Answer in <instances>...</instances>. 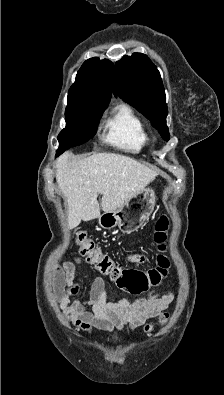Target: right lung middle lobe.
I'll return each instance as SVG.
<instances>
[{
  "instance_id": "obj_1",
  "label": "right lung middle lobe",
  "mask_w": 224,
  "mask_h": 395,
  "mask_svg": "<svg viewBox=\"0 0 224 395\" xmlns=\"http://www.w3.org/2000/svg\"><path fill=\"white\" fill-rule=\"evenodd\" d=\"M65 111L66 127L58 136L59 148L69 149L92 138L106 105L90 98L68 94Z\"/></svg>"
}]
</instances>
